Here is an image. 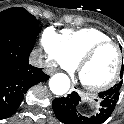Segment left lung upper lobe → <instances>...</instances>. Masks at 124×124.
I'll return each instance as SVG.
<instances>
[{
  "label": "left lung upper lobe",
  "mask_w": 124,
  "mask_h": 124,
  "mask_svg": "<svg viewBox=\"0 0 124 124\" xmlns=\"http://www.w3.org/2000/svg\"><path fill=\"white\" fill-rule=\"evenodd\" d=\"M123 69H124V67H123ZM122 74H123V70L121 71V73H120V76L122 77ZM118 84H121L122 85V82H120V83H118Z\"/></svg>",
  "instance_id": "obj_1"
}]
</instances>
